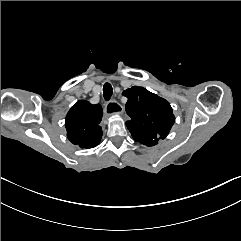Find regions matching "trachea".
<instances>
[{
    "label": "trachea",
    "mask_w": 241,
    "mask_h": 241,
    "mask_svg": "<svg viewBox=\"0 0 241 241\" xmlns=\"http://www.w3.org/2000/svg\"><path fill=\"white\" fill-rule=\"evenodd\" d=\"M113 94V88L110 83L106 82L103 86V96L106 101L110 100Z\"/></svg>",
    "instance_id": "obj_1"
}]
</instances>
